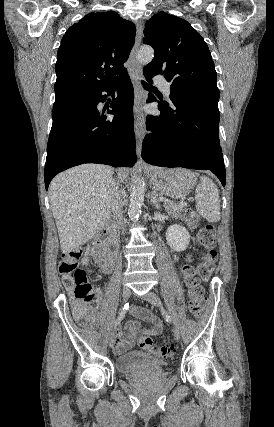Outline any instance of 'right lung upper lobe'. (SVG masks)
<instances>
[{
  "mask_svg": "<svg viewBox=\"0 0 274 427\" xmlns=\"http://www.w3.org/2000/svg\"><path fill=\"white\" fill-rule=\"evenodd\" d=\"M135 31L132 22L114 11L89 13L72 25L57 52L54 105L112 87L127 76L123 63Z\"/></svg>",
  "mask_w": 274,
  "mask_h": 427,
  "instance_id": "cb5924a9",
  "label": "right lung upper lobe"
}]
</instances>
